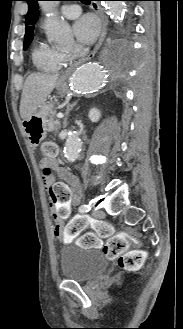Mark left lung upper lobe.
<instances>
[{"mask_svg":"<svg viewBox=\"0 0 183 329\" xmlns=\"http://www.w3.org/2000/svg\"><path fill=\"white\" fill-rule=\"evenodd\" d=\"M28 3V13L25 17V24L27 25L25 27V40H24V50L28 48L30 45L33 37V30H34V24L36 23L39 15L38 11V4L37 1L39 0H25Z\"/></svg>","mask_w":183,"mask_h":329,"instance_id":"obj_1","label":"left lung upper lobe"}]
</instances>
